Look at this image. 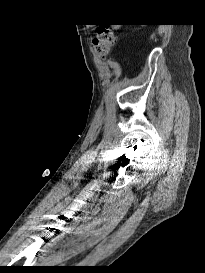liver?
Returning <instances> with one entry per match:
<instances>
[{
    "instance_id": "liver-1",
    "label": "liver",
    "mask_w": 205,
    "mask_h": 273,
    "mask_svg": "<svg viewBox=\"0 0 205 273\" xmlns=\"http://www.w3.org/2000/svg\"><path fill=\"white\" fill-rule=\"evenodd\" d=\"M116 28L115 29H118L119 26H115Z\"/></svg>"
}]
</instances>
